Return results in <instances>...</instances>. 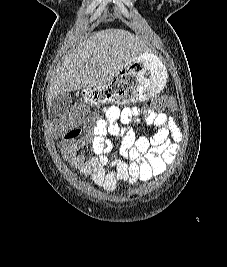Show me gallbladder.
Returning a JSON list of instances; mask_svg holds the SVG:
<instances>
[{"label": "gallbladder", "instance_id": "obj_1", "mask_svg": "<svg viewBox=\"0 0 227 267\" xmlns=\"http://www.w3.org/2000/svg\"><path fill=\"white\" fill-rule=\"evenodd\" d=\"M72 103V97L69 92L60 94L49 106L52 116H59L64 113Z\"/></svg>", "mask_w": 227, "mask_h": 267}]
</instances>
